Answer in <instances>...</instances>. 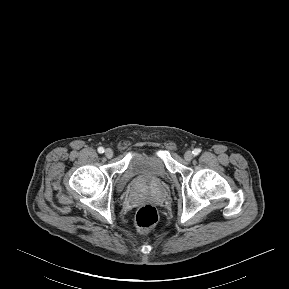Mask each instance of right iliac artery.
<instances>
[{
  "instance_id": "obj_1",
  "label": "right iliac artery",
  "mask_w": 289,
  "mask_h": 289,
  "mask_svg": "<svg viewBox=\"0 0 289 289\" xmlns=\"http://www.w3.org/2000/svg\"><path fill=\"white\" fill-rule=\"evenodd\" d=\"M98 152H99L100 154L104 153V148H103V147H99V148H98Z\"/></svg>"
}]
</instances>
